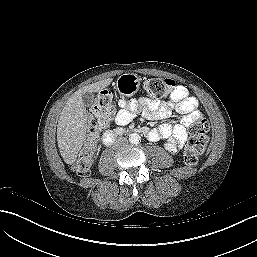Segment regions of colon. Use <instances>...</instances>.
Masks as SVG:
<instances>
[{
  "mask_svg": "<svg viewBox=\"0 0 257 257\" xmlns=\"http://www.w3.org/2000/svg\"><path fill=\"white\" fill-rule=\"evenodd\" d=\"M175 87L172 79L149 78L145 82V90L153 100L165 97ZM115 97L110 90L100 92L94 99L88 120L86 142L75 163L79 174H86L90 169V159L96 147L100 133L107 127L114 114ZM192 137L184 152V160L194 165L204 154L208 143L209 123L205 118L197 119L192 127Z\"/></svg>",
  "mask_w": 257,
  "mask_h": 257,
  "instance_id": "colon-1",
  "label": "colon"
}]
</instances>
